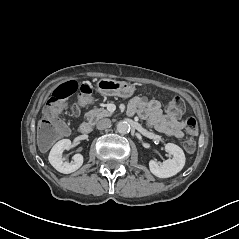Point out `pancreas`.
Masks as SVG:
<instances>
[{
  "label": "pancreas",
  "mask_w": 239,
  "mask_h": 239,
  "mask_svg": "<svg viewBox=\"0 0 239 239\" xmlns=\"http://www.w3.org/2000/svg\"><path fill=\"white\" fill-rule=\"evenodd\" d=\"M111 115L112 113L104 108H94L85 114L87 120L92 125L96 124L100 119L110 117Z\"/></svg>",
  "instance_id": "obj_1"
}]
</instances>
